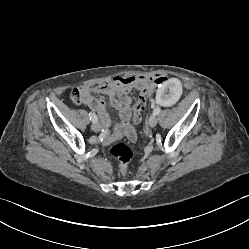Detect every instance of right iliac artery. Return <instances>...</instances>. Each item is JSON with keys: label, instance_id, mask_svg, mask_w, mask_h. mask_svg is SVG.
<instances>
[{"label": "right iliac artery", "instance_id": "82829eb1", "mask_svg": "<svg viewBox=\"0 0 249 249\" xmlns=\"http://www.w3.org/2000/svg\"><path fill=\"white\" fill-rule=\"evenodd\" d=\"M89 117H90V120H91L92 122H97V120H98L96 114L93 113V112H90V113H89Z\"/></svg>", "mask_w": 249, "mask_h": 249}]
</instances>
